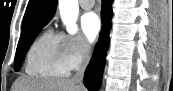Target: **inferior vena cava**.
Listing matches in <instances>:
<instances>
[{
  "mask_svg": "<svg viewBox=\"0 0 173 91\" xmlns=\"http://www.w3.org/2000/svg\"><path fill=\"white\" fill-rule=\"evenodd\" d=\"M81 53L83 56V61L77 68V72H76L75 76L72 78V81L79 84L80 86H82L84 72H85L86 66L88 64L89 57H90V47H89L88 43L83 44Z\"/></svg>",
  "mask_w": 173,
  "mask_h": 91,
  "instance_id": "obj_1",
  "label": "inferior vena cava"
}]
</instances>
